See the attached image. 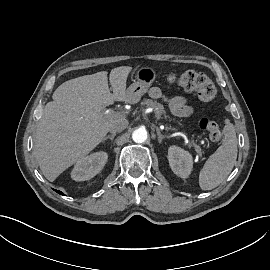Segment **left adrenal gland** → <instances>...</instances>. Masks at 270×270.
I'll return each instance as SVG.
<instances>
[{
    "label": "left adrenal gland",
    "instance_id": "a2214340",
    "mask_svg": "<svg viewBox=\"0 0 270 270\" xmlns=\"http://www.w3.org/2000/svg\"><path fill=\"white\" fill-rule=\"evenodd\" d=\"M156 131H157L158 141L159 143H162V139L164 138V136L161 134L158 128H156Z\"/></svg>",
    "mask_w": 270,
    "mask_h": 270
}]
</instances>
